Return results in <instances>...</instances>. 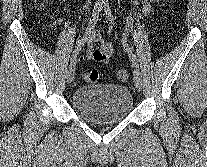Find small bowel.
I'll return each mask as SVG.
<instances>
[{"label": "small bowel", "mask_w": 207, "mask_h": 167, "mask_svg": "<svg viewBox=\"0 0 207 167\" xmlns=\"http://www.w3.org/2000/svg\"><path fill=\"white\" fill-rule=\"evenodd\" d=\"M132 3L135 5L136 0H131ZM158 0H143V14L148 15L150 14L153 5ZM88 44L87 50L85 54V58L87 60L95 61V62H102V63H109L112 55H113V45L105 42L100 33L98 31L92 30L88 37ZM77 61L83 60V56H76L75 58Z\"/></svg>", "instance_id": "1"}]
</instances>
